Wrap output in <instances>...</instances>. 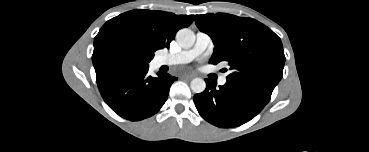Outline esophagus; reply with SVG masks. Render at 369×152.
<instances>
[{"instance_id":"34e87169","label":"esophagus","mask_w":369,"mask_h":152,"mask_svg":"<svg viewBox=\"0 0 369 152\" xmlns=\"http://www.w3.org/2000/svg\"><path fill=\"white\" fill-rule=\"evenodd\" d=\"M193 77H194V75H193V74H185V75H183V76H182V79L190 80V79H192Z\"/></svg>"}]
</instances>
